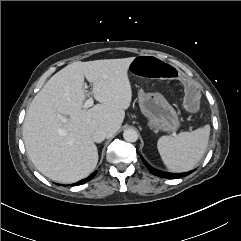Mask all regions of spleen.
Returning a JSON list of instances; mask_svg holds the SVG:
<instances>
[{
  "mask_svg": "<svg viewBox=\"0 0 241 241\" xmlns=\"http://www.w3.org/2000/svg\"><path fill=\"white\" fill-rule=\"evenodd\" d=\"M210 126L192 132H181L176 137L162 136L157 148L163 163L172 172L193 169L203 157L209 141Z\"/></svg>",
  "mask_w": 241,
  "mask_h": 241,
  "instance_id": "obj_1",
  "label": "spleen"
}]
</instances>
